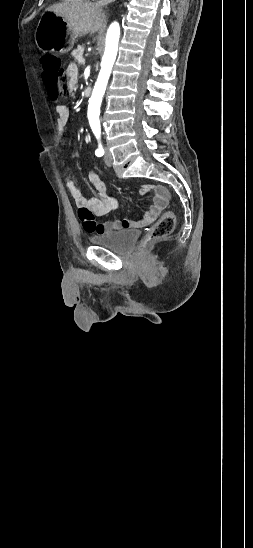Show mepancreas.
Wrapping results in <instances>:
<instances>
[{"label":"pancreas","mask_w":253,"mask_h":548,"mask_svg":"<svg viewBox=\"0 0 253 548\" xmlns=\"http://www.w3.org/2000/svg\"><path fill=\"white\" fill-rule=\"evenodd\" d=\"M84 53V46H78L76 49H74L71 53V55L75 58L78 63H80V59L83 58Z\"/></svg>","instance_id":"pancreas-1"}]
</instances>
